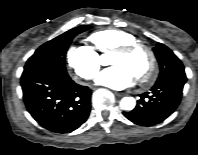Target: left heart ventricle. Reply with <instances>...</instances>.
<instances>
[{
    "label": "left heart ventricle",
    "instance_id": "b2bd125f",
    "mask_svg": "<svg viewBox=\"0 0 198 155\" xmlns=\"http://www.w3.org/2000/svg\"><path fill=\"white\" fill-rule=\"evenodd\" d=\"M112 65H122L129 69L135 78L144 74L149 67V57L145 50L137 49L128 54L113 53Z\"/></svg>",
    "mask_w": 198,
    "mask_h": 155
}]
</instances>
